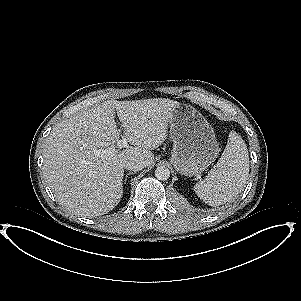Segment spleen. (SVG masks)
<instances>
[{"label": "spleen", "mask_w": 301, "mask_h": 301, "mask_svg": "<svg viewBox=\"0 0 301 301\" xmlns=\"http://www.w3.org/2000/svg\"><path fill=\"white\" fill-rule=\"evenodd\" d=\"M248 172L249 157L244 143L239 137L231 136L221 158L193 191L208 205L221 204L243 187Z\"/></svg>", "instance_id": "spleen-1"}]
</instances>
